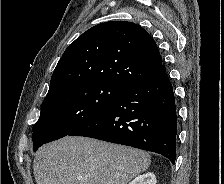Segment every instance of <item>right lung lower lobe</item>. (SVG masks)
Masks as SVG:
<instances>
[{
	"instance_id": "obj_1",
	"label": "right lung lower lobe",
	"mask_w": 224,
	"mask_h": 184,
	"mask_svg": "<svg viewBox=\"0 0 224 184\" xmlns=\"http://www.w3.org/2000/svg\"><path fill=\"white\" fill-rule=\"evenodd\" d=\"M176 159L177 115L167 74L129 85L103 112L72 131Z\"/></svg>"
}]
</instances>
